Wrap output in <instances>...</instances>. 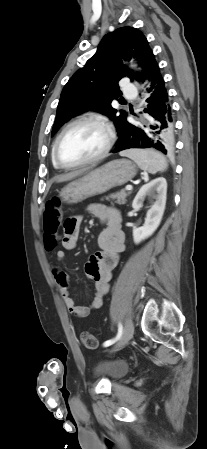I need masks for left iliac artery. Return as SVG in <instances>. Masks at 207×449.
I'll return each instance as SVG.
<instances>
[{
    "label": "left iliac artery",
    "instance_id": "44dca946",
    "mask_svg": "<svg viewBox=\"0 0 207 449\" xmlns=\"http://www.w3.org/2000/svg\"><path fill=\"white\" fill-rule=\"evenodd\" d=\"M122 332H123V327L121 324H119L118 325V333H117L116 337L111 340L105 341L103 346L108 347V346L114 344L116 341H118L120 339V337L122 336Z\"/></svg>",
    "mask_w": 207,
    "mask_h": 449
}]
</instances>
